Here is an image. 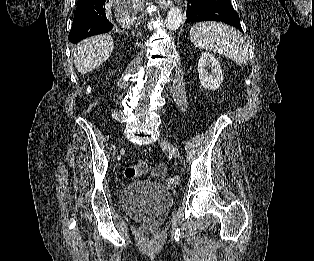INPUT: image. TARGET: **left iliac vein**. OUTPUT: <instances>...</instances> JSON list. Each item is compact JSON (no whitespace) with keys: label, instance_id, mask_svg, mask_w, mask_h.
<instances>
[{"label":"left iliac vein","instance_id":"obj_1","mask_svg":"<svg viewBox=\"0 0 314 261\" xmlns=\"http://www.w3.org/2000/svg\"><path fill=\"white\" fill-rule=\"evenodd\" d=\"M160 144L162 147L166 148L169 153H171L177 158H180L179 150L172 143L165 139H161Z\"/></svg>","mask_w":314,"mask_h":261}]
</instances>
